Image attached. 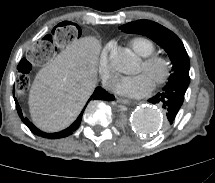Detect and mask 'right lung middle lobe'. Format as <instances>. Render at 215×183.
<instances>
[{"mask_svg":"<svg viewBox=\"0 0 215 183\" xmlns=\"http://www.w3.org/2000/svg\"><path fill=\"white\" fill-rule=\"evenodd\" d=\"M64 24H68V22H64L63 25H64Z\"/></svg>","mask_w":215,"mask_h":183,"instance_id":"right-lung-middle-lobe-1","label":"right lung middle lobe"}]
</instances>
